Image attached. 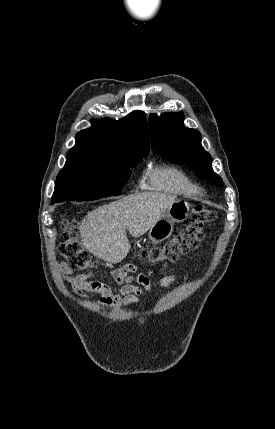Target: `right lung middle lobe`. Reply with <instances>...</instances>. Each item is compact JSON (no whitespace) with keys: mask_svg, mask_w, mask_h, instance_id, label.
Masks as SVG:
<instances>
[{"mask_svg":"<svg viewBox=\"0 0 275 429\" xmlns=\"http://www.w3.org/2000/svg\"><path fill=\"white\" fill-rule=\"evenodd\" d=\"M147 154H126L111 159L67 160L57 176L52 200L90 201L119 195L131 170Z\"/></svg>","mask_w":275,"mask_h":429,"instance_id":"dd1d6c3e","label":"right lung middle lobe"}]
</instances>
